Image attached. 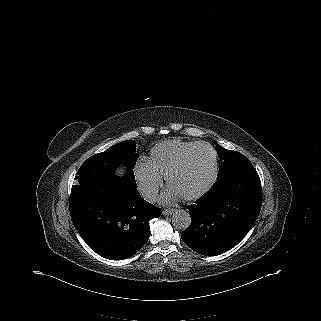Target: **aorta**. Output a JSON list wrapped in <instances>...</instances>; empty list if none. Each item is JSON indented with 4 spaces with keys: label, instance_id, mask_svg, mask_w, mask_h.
<instances>
[{
    "label": "aorta",
    "instance_id": "aorta-1",
    "mask_svg": "<svg viewBox=\"0 0 321 321\" xmlns=\"http://www.w3.org/2000/svg\"><path fill=\"white\" fill-rule=\"evenodd\" d=\"M191 224V217L187 211L178 210L172 216V225L178 230H186Z\"/></svg>",
    "mask_w": 321,
    "mask_h": 321
}]
</instances>
